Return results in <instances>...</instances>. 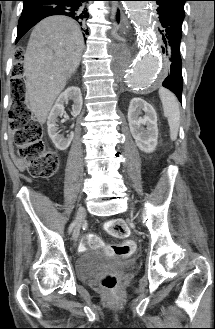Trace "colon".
<instances>
[{
	"label": "colon",
	"instance_id": "5ec220e1",
	"mask_svg": "<svg viewBox=\"0 0 215 329\" xmlns=\"http://www.w3.org/2000/svg\"><path fill=\"white\" fill-rule=\"evenodd\" d=\"M13 62H26V55H13ZM11 73H22V66H11ZM12 108L10 110V126L14 133V142L18 147L17 157L28 169L30 175L35 178L48 179L58 170L59 159L55 152L46 148L42 135L41 124L33 117L26 104V86L21 79L11 81ZM109 235L124 239L119 246L105 245L95 235H88L81 243V248L104 249L108 254H117L122 257L130 256L135 249V244L128 239L129 228L122 219H112L106 224ZM117 277L109 274L102 279V285L108 290L117 286Z\"/></svg>",
	"mask_w": 215,
	"mask_h": 329
}]
</instances>
